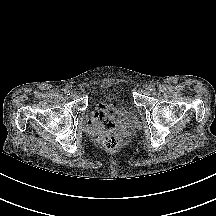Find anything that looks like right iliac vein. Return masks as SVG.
Returning a JSON list of instances; mask_svg holds the SVG:
<instances>
[{"instance_id": "obj_1", "label": "right iliac vein", "mask_w": 216, "mask_h": 216, "mask_svg": "<svg viewBox=\"0 0 216 216\" xmlns=\"http://www.w3.org/2000/svg\"><path fill=\"white\" fill-rule=\"evenodd\" d=\"M70 96H71V97H75V96H76V93H75V92H71Z\"/></svg>"}]
</instances>
